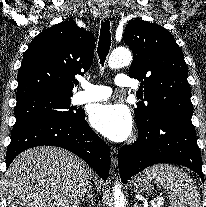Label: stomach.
<instances>
[{
    "instance_id": "0dacf381",
    "label": "stomach",
    "mask_w": 206,
    "mask_h": 207,
    "mask_svg": "<svg viewBox=\"0 0 206 207\" xmlns=\"http://www.w3.org/2000/svg\"><path fill=\"white\" fill-rule=\"evenodd\" d=\"M132 189L136 193L149 194L153 191V185L150 181L139 176L135 181L132 182Z\"/></svg>"
}]
</instances>
